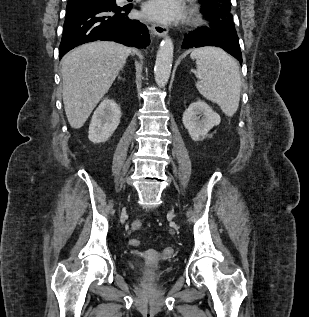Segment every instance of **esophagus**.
Instances as JSON below:
<instances>
[{"instance_id":"1","label":"esophagus","mask_w":309,"mask_h":317,"mask_svg":"<svg viewBox=\"0 0 309 317\" xmlns=\"http://www.w3.org/2000/svg\"><path fill=\"white\" fill-rule=\"evenodd\" d=\"M151 30L155 35H157L159 37L166 36L168 33V28L166 26L158 24V23H153L151 25Z\"/></svg>"}]
</instances>
